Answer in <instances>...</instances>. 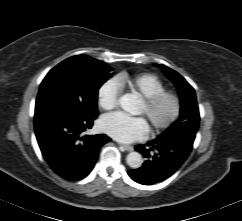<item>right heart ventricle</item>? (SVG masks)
I'll list each match as a JSON object with an SVG mask.
<instances>
[{
	"label": "right heart ventricle",
	"mask_w": 242,
	"mask_h": 221,
	"mask_svg": "<svg viewBox=\"0 0 242 221\" xmlns=\"http://www.w3.org/2000/svg\"><path fill=\"white\" fill-rule=\"evenodd\" d=\"M115 81L121 89L138 94L142 98L165 90L164 83L151 73L128 74L122 72L116 76Z\"/></svg>",
	"instance_id": "obj_1"
}]
</instances>
